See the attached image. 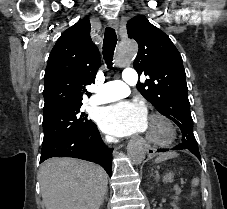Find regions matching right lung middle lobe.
<instances>
[{"mask_svg": "<svg viewBox=\"0 0 227 209\" xmlns=\"http://www.w3.org/2000/svg\"><path fill=\"white\" fill-rule=\"evenodd\" d=\"M82 100L54 98L45 102L43 116V143L59 136L83 131L94 123L80 111Z\"/></svg>", "mask_w": 227, "mask_h": 209, "instance_id": "obj_1", "label": "right lung middle lobe"}]
</instances>
